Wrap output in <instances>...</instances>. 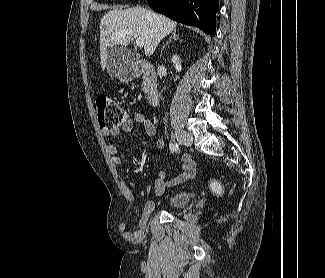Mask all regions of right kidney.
<instances>
[{
	"mask_svg": "<svg viewBox=\"0 0 325 278\" xmlns=\"http://www.w3.org/2000/svg\"><path fill=\"white\" fill-rule=\"evenodd\" d=\"M172 63L174 64L176 71L180 72L182 67H181V62H180V58L178 55H173Z\"/></svg>",
	"mask_w": 325,
	"mask_h": 278,
	"instance_id": "right-kidney-1",
	"label": "right kidney"
}]
</instances>
